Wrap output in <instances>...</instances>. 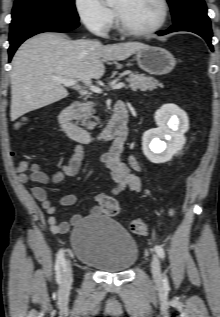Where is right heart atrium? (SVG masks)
Returning a JSON list of instances; mask_svg holds the SVG:
<instances>
[{
    "mask_svg": "<svg viewBox=\"0 0 220 317\" xmlns=\"http://www.w3.org/2000/svg\"><path fill=\"white\" fill-rule=\"evenodd\" d=\"M74 6L81 23L90 31L105 35L113 25L114 17L100 0H75Z\"/></svg>",
    "mask_w": 220,
    "mask_h": 317,
    "instance_id": "1",
    "label": "right heart atrium"
}]
</instances>
